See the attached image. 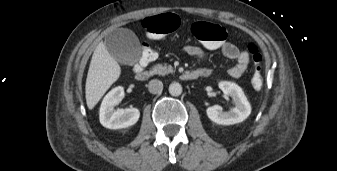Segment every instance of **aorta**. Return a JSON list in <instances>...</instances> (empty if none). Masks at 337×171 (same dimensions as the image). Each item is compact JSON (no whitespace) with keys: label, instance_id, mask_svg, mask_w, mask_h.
<instances>
[{"label":"aorta","instance_id":"aorta-1","mask_svg":"<svg viewBox=\"0 0 337 171\" xmlns=\"http://www.w3.org/2000/svg\"><path fill=\"white\" fill-rule=\"evenodd\" d=\"M169 93L172 96H179V95H181V93H182V86H181V84L178 83V82H172L169 85Z\"/></svg>","mask_w":337,"mask_h":171}]
</instances>
